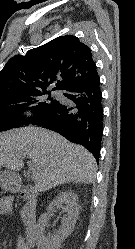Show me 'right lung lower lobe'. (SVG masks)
Instances as JSON below:
<instances>
[{
    "instance_id": "obj_1",
    "label": "right lung lower lobe",
    "mask_w": 135,
    "mask_h": 249,
    "mask_svg": "<svg viewBox=\"0 0 135 249\" xmlns=\"http://www.w3.org/2000/svg\"><path fill=\"white\" fill-rule=\"evenodd\" d=\"M70 104L57 103L32 118L29 124L53 130L88 149L99 161L103 135V106L100 78L71 85L63 94Z\"/></svg>"
}]
</instances>
